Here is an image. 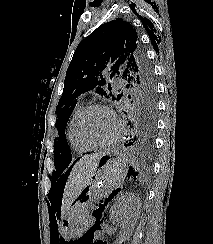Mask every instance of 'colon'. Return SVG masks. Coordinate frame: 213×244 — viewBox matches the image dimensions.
<instances>
[{"label":"colon","mask_w":213,"mask_h":244,"mask_svg":"<svg viewBox=\"0 0 213 244\" xmlns=\"http://www.w3.org/2000/svg\"><path fill=\"white\" fill-rule=\"evenodd\" d=\"M97 244H105V243L100 241V242H98Z\"/></svg>","instance_id":"5ec220e1"}]
</instances>
